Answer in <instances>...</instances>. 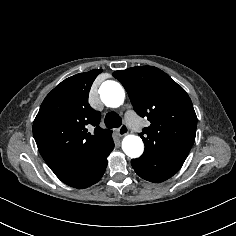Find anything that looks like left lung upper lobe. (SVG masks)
Here are the masks:
<instances>
[{"label":"left lung upper lobe","instance_id":"1","mask_svg":"<svg viewBox=\"0 0 236 236\" xmlns=\"http://www.w3.org/2000/svg\"><path fill=\"white\" fill-rule=\"evenodd\" d=\"M126 89L134 110L151 125L140 133L145 151L185 160L194 141L197 117L185 90L153 66L113 73Z\"/></svg>","mask_w":236,"mask_h":236}]
</instances>
